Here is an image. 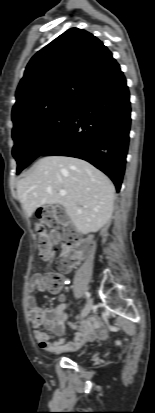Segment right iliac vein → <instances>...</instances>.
Listing matches in <instances>:
<instances>
[{"label":"right iliac vein","mask_w":155,"mask_h":413,"mask_svg":"<svg viewBox=\"0 0 155 413\" xmlns=\"http://www.w3.org/2000/svg\"><path fill=\"white\" fill-rule=\"evenodd\" d=\"M92 305H93L92 299H89L85 308L82 311L81 318L86 317L90 313L92 309Z\"/></svg>","instance_id":"obj_1"}]
</instances>
